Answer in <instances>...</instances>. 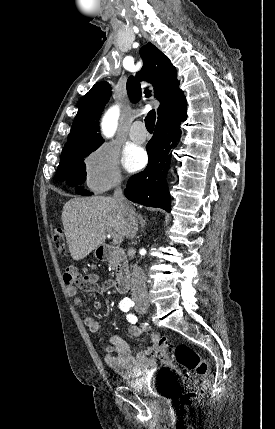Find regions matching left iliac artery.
I'll use <instances>...</instances> for the list:
<instances>
[{
	"instance_id": "1",
	"label": "left iliac artery",
	"mask_w": 275,
	"mask_h": 429,
	"mask_svg": "<svg viewBox=\"0 0 275 429\" xmlns=\"http://www.w3.org/2000/svg\"><path fill=\"white\" fill-rule=\"evenodd\" d=\"M127 318L129 320V322L131 323H136V317H134L133 315H127Z\"/></svg>"
}]
</instances>
